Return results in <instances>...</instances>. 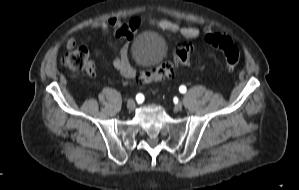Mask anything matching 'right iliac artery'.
Wrapping results in <instances>:
<instances>
[{"mask_svg":"<svg viewBox=\"0 0 299 190\" xmlns=\"http://www.w3.org/2000/svg\"><path fill=\"white\" fill-rule=\"evenodd\" d=\"M136 100H137L138 103H140L144 100V96L142 94H137Z\"/></svg>","mask_w":299,"mask_h":190,"instance_id":"right-iliac-artery-1","label":"right iliac artery"}]
</instances>
